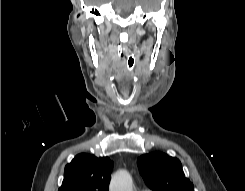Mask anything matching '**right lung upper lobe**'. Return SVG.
Returning <instances> with one entry per match:
<instances>
[{
    "mask_svg": "<svg viewBox=\"0 0 245 191\" xmlns=\"http://www.w3.org/2000/svg\"><path fill=\"white\" fill-rule=\"evenodd\" d=\"M113 162L108 157L78 154L64 172L58 191H107Z\"/></svg>",
    "mask_w": 245,
    "mask_h": 191,
    "instance_id": "1",
    "label": "right lung upper lobe"
}]
</instances>
